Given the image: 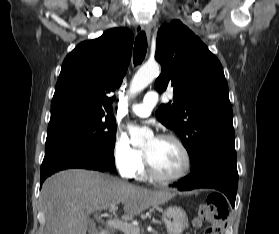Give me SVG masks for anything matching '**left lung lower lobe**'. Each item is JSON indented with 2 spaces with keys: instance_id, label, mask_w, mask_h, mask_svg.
Wrapping results in <instances>:
<instances>
[{
  "instance_id": "0a47b994",
  "label": "left lung lower lobe",
  "mask_w": 279,
  "mask_h": 234,
  "mask_svg": "<svg viewBox=\"0 0 279 234\" xmlns=\"http://www.w3.org/2000/svg\"><path fill=\"white\" fill-rule=\"evenodd\" d=\"M173 186L180 191L196 188H215L223 192L235 205L238 172L235 150H221L206 157L190 175L182 178Z\"/></svg>"
}]
</instances>
